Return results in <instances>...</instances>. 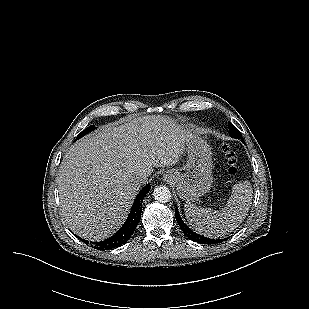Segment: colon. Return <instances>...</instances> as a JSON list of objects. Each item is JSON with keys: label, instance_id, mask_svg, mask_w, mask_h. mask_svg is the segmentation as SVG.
Returning <instances> with one entry per match:
<instances>
[{"label": "colon", "instance_id": "obj_1", "mask_svg": "<svg viewBox=\"0 0 309 309\" xmlns=\"http://www.w3.org/2000/svg\"><path fill=\"white\" fill-rule=\"evenodd\" d=\"M221 149L227 163V170L230 175H236L238 169V158L235 151L226 143L221 144Z\"/></svg>", "mask_w": 309, "mask_h": 309}]
</instances>
